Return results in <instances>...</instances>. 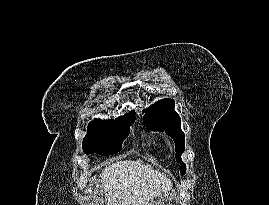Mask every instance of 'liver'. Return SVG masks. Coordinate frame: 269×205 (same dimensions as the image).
Wrapping results in <instances>:
<instances>
[{"label": "liver", "instance_id": "liver-1", "mask_svg": "<svg viewBox=\"0 0 269 205\" xmlns=\"http://www.w3.org/2000/svg\"><path fill=\"white\" fill-rule=\"evenodd\" d=\"M108 205H151L154 197L167 195L169 178L140 161L120 160L100 174Z\"/></svg>", "mask_w": 269, "mask_h": 205}]
</instances>
